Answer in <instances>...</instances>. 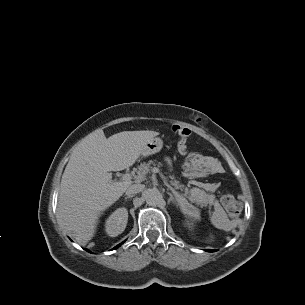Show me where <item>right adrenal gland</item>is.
I'll use <instances>...</instances> for the list:
<instances>
[{"label":"right adrenal gland","mask_w":305,"mask_h":305,"mask_svg":"<svg viewBox=\"0 0 305 305\" xmlns=\"http://www.w3.org/2000/svg\"><path fill=\"white\" fill-rule=\"evenodd\" d=\"M134 195L126 196L125 199L132 198Z\"/></svg>","instance_id":"2a0ac1e0"}]
</instances>
